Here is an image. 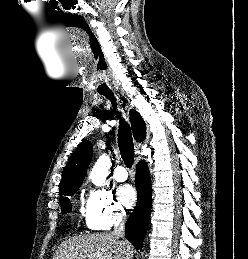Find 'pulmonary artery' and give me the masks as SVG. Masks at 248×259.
<instances>
[{
  "mask_svg": "<svg viewBox=\"0 0 248 259\" xmlns=\"http://www.w3.org/2000/svg\"><path fill=\"white\" fill-rule=\"evenodd\" d=\"M114 178L118 182H123L127 179L128 174L126 169L123 166H117L113 174Z\"/></svg>",
  "mask_w": 248,
  "mask_h": 259,
  "instance_id": "e3ab8cb5",
  "label": "pulmonary artery"
}]
</instances>
